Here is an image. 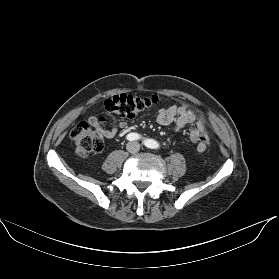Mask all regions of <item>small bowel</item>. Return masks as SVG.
<instances>
[{
    "label": "small bowel",
    "mask_w": 279,
    "mask_h": 279,
    "mask_svg": "<svg viewBox=\"0 0 279 279\" xmlns=\"http://www.w3.org/2000/svg\"><path fill=\"white\" fill-rule=\"evenodd\" d=\"M90 123L99 128L106 138H114L119 132L124 131L127 127L126 122L121 121L112 129L105 130L101 127V122L95 116L90 117ZM156 121L160 125H170L175 122L176 131H180L186 125H194L190 132V139L196 144V149L199 153L206 150L207 145L202 141V137L206 134V119L203 115H198L192 110L189 104L182 102L178 105H172L168 108H162L158 111Z\"/></svg>",
    "instance_id": "small-bowel-1"
}]
</instances>
